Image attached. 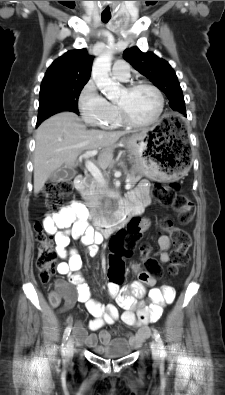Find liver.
Returning <instances> with one entry per match:
<instances>
[{
	"label": "liver",
	"mask_w": 225,
	"mask_h": 395,
	"mask_svg": "<svg viewBox=\"0 0 225 395\" xmlns=\"http://www.w3.org/2000/svg\"><path fill=\"white\" fill-rule=\"evenodd\" d=\"M125 134V131L87 130L73 112H61L48 118L36 131L34 193L38 194L63 164L70 168L75 166L84 151L102 149L98 165L107 168L113 158L115 143Z\"/></svg>",
	"instance_id": "6515ba94"
}]
</instances>
